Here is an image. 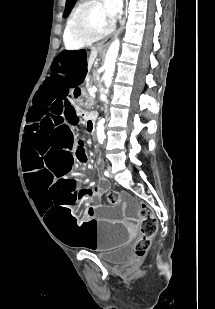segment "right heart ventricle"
I'll return each mask as SVG.
<instances>
[{"label": "right heart ventricle", "instance_id": "right-heart-ventricle-1", "mask_svg": "<svg viewBox=\"0 0 215 309\" xmlns=\"http://www.w3.org/2000/svg\"><path fill=\"white\" fill-rule=\"evenodd\" d=\"M75 10H73L71 12V14L69 15L68 19H67V22H66V27H67V24L68 22L70 21L73 13H74ZM64 29L63 31V43H64V46L65 48H78L74 43L73 41L71 40V37H70V34L67 32V29Z\"/></svg>", "mask_w": 215, "mask_h": 309}]
</instances>
